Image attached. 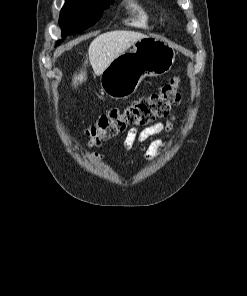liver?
Wrapping results in <instances>:
<instances>
[{
    "instance_id": "obj_1",
    "label": "liver",
    "mask_w": 247,
    "mask_h": 296,
    "mask_svg": "<svg viewBox=\"0 0 247 296\" xmlns=\"http://www.w3.org/2000/svg\"><path fill=\"white\" fill-rule=\"evenodd\" d=\"M147 37L143 33L134 31H110L98 35L90 44L88 49V58L94 70L99 76L104 70L122 53L129 49L135 42ZM88 61L84 65L86 67ZM86 71L81 70L79 74L73 77V85L76 87L79 83L86 81Z\"/></svg>"
}]
</instances>
